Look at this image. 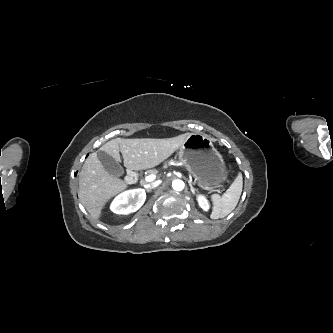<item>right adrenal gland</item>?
<instances>
[{"label":"right adrenal gland","instance_id":"1","mask_svg":"<svg viewBox=\"0 0 333 333\" xmlns=\"http://www.w3.org/2000/svg\"><path fill=\"white\" fill-rule=\"evenodd\" d=\"M146 191H147V192H151V189H147Z\"/></svg>","mask_w":333,"mask_h":333}]
</instances>
